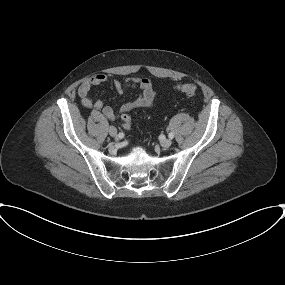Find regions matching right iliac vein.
Here are the masks:
<instances>
[{"label": "right iliac vein", "instance_id": "right-iliac-vein-1", "mask_svg": "<svg viewBox=\"0 0 285 285\" xmlns=\"http://www.w3.org/2000/svg\"><path fill=\"white\" fill-rule=\"evenodd\" d=\"M108 132H109L110 136H112V137L117 136V129L114 126H110L108 128Z\"/></svg>", "mask_w": 285, "mask_h": 285}]
</instances>
